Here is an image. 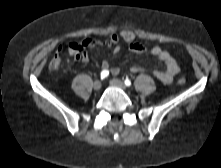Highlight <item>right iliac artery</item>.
I'll return each mask as SVG.
<instances>
[{
    "label": "right iliac artery",
    "instance_id": "right-iliac-artery-1",
    "mask_svg": "<svg viewBox=\"0 0 221 168\" xmlns=\"http://www.w3.org/2000/svg\"><path fill=\"white\" fill-rule=\"evenodd\" d=\"M108 75H109V71H107V70H103L100 74L101 79L106 78Z\"/></svg>",
    "mask_w": 221,
    "mask_h": 168
}]
</instances>
